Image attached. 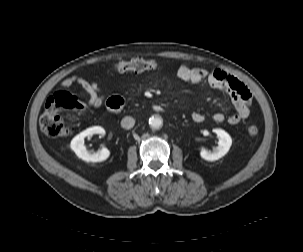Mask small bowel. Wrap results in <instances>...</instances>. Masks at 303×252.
<instances>
[{
	"label": "small bowel",
	"mask_w": 303,
	"mask_h": 252,
	"mask_svg": "<svg viewBox=\"0 0 303 252\" xmlns=\"http://www.w3.org/2000/svg\"><path fill=\"white\" fill-rule=\"evenodd\" d=\"M175 70L177 76L183 81L193 84L205 83L210 88L225 92L230 97L236 112L228 117L222 112H216L212 116L214 122L222 123L227 120L228 123L235 125L248 116L252 95L249 89L237 79L188 64H179ZM74 84L80 85L89 94L87 102L89 107L99 108L104 104L105 92L95 81L72 76L65 79L61 83V87L69 88ZM192 120L201 123L205 117L200 112H194Z\"/></svg>",
	"instance_id": "1"
}]
</instances>
